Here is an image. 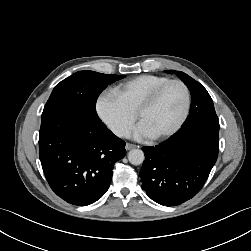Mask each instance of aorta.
<instances>
[{
  "label": "aorta",
  "mask_w": 251,
  "mask_h": 251,
  "mask_svg": "<svg viewBox=\"0 0 251 251\" xmlns=\"http://www.w3.org/2000/svg\"><path fill=\"white\" fill-rule=\"evenodd\" d=\"M145 159L144 152L140 149H132L128 153V160L133 165H140Z\"/></svg>",
  "instance_id": "1"
}]
</instances>
